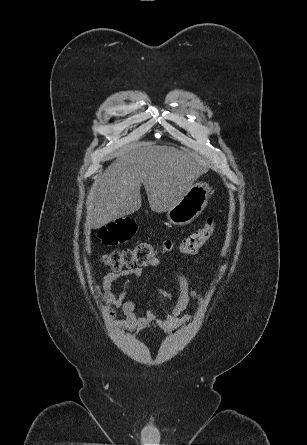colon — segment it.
<instances>
[{"label":"colon","instance_id":"colon-1","mask_svg":"<svg viewBox=\"0 0 307 445\" xmlns=\"http://www.w3.org/2000/svg\"><path fill=\"white\" fill-rule=\"evenodd\" d=\"M216 221L209 218L205 225L183 237L178 244L165 240L159 245L139 243L132 248L113 250L101 255V262L113 271L146 266L158 252L168 253L178 249L183 254L196 253L214 234ZM137 231L134 219L125 217L112 221L99 230L98 236L106 246H116L132 239Z\"/></svg>","mask_w":307,"mask_h":445}]
</instances>
